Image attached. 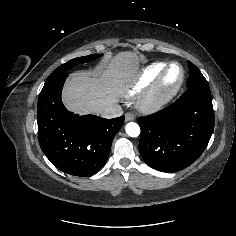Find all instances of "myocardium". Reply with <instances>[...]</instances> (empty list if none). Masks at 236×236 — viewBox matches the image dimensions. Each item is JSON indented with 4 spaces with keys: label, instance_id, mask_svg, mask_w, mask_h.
<instances>
[{
    "label": "myocardium",
    "instance_id": "f54148a6",
    "mask_svg": "<svg viewBox=\"0 0 236 236\" xmlns=\"http://www.w3.org/2000/svg\"><path fill=\"white\" fill-rule=\"evenodd\" d=\"M173 65H177L180 68V78L178 82L174 85V87H172L168 91H164L162 89V84L169 69ZM184 80L185 71L181 64H179L178 62H171L167 64L161 74L155 79V81H153L151 86L148 88V90L142 97L139 103L140 109L144 112H154L163 108L178 94L184 84Z\"/></svg>",
    "mask_w": 236,
    "mask_h": 236
}]
</instances>
